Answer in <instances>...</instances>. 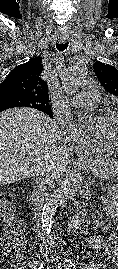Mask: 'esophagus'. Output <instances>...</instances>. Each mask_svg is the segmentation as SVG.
I'll use <instances>...</instances> for the list:
<instances>
[{"mask_svg":"<svg viewBox=\"0 0 118 269\" xmlns=\"http://www.w3.org/2000/svg\"><path fill=\"white\" fill-rule=\"evenodd\" d=\"M60 42L64 43L66 41V38H60L59 40ZM86 158L84 156H79L76 158V162H81V161H84Z\"/></svg>","mask_w":118,"mask_h":269,"instance_id":"34e87169","label":"esophagus"}]
</instances>
